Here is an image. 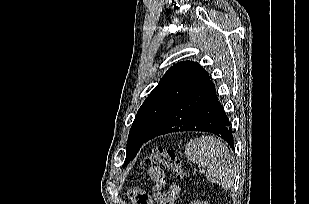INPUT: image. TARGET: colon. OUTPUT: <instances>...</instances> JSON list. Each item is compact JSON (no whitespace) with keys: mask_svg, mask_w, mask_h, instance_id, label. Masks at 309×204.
Wrapping results in <instances>:
<instances>
[{"mask_svg":"<svg viewBox=\"0 0 309 204\" xmlns=\"http://www.w3.org/2000/svg\"><path fill=\"white\" fill-rule=\"evenodd\" d=\"M144 164L147 166L160 165L173 171L178 178L183 175L180 160L173 149H165L162 147H155L151 153L144 159ZM148 199L139 195L137 204L147 203Z\"/></svg>","mask_w":309,"mask_h":204,"instance_id":"5ec220e1","label":"colon"}]
</instances>
